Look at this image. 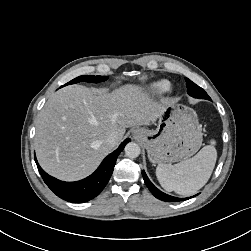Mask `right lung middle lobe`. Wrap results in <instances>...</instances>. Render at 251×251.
Segmentation results:
<instances>
[{"instance_id":"dd1d6c3e","label":"right lung middle lobe","mask_w":251,"mask_h":251,"mask_svg":"<svg viewBox=\"0 0 251 251\" xmlns=\"http://www.w3.org/2000/svg\"><path fill=\"white\" fill-rule=\"evenodd\" d=\"M107 78L108 77H105V76L83 75V76H79V77L71 80L70 82H68L67 84H65L63 86L78 83V82H82V81L98 83V82L105 81Z\"/></svg>"}]
</instances>
